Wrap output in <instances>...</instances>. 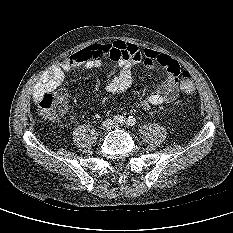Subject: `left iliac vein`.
<instances>
[{
	"mask_svg": "<svg viewBox=\"0 0 233 233\" xmlns=\"http://www.w3.org/2000/svg\"><path fill=\"white\" fill-rule=\"evenodd\" d=\"M113 127H115V128H117V129H119V128H121L122 126H121V125H119L118 123H116V124H114V125H113Z\"/></svg>",
	"mask_w": 233,
	"mask_h": 233,
	"instance_id": "1",
	"label": "left iliac vein"
}]
</instances>
